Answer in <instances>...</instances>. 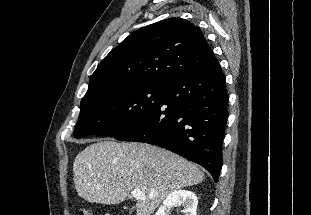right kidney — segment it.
Here are the masks:
<instances>
[{
    "label": "right kidney",
    "mask_w": 311,
    "mask_h": 215,
    "mask_svg": "<svg viewBox=\"0 0 311 215\" xmlns=\"http://www.w3.org/2000/svg\"><path fill=\"white\" fill-rule=\"evenodd\" d=\"M198 199L197 196L189 190H175L169 194L159 207L155 215H168V213L177 206H183L184 215H197Z\"/></svg>",
    "instance_id": "obj_1"
}]
</instances>
